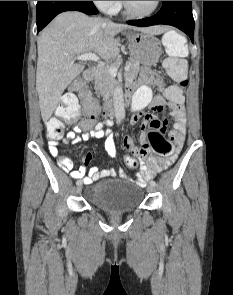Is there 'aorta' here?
Returning <instances> with one entry per match:
<instances>
[{"label": "aorta", "instance_id": "1", "mask_svg": "<svg viewBox=\"0 0 233 295\" xmlns=\"http://www.w3.org/2000/svg\"><path fill=\"white\" fill-rule=\"evenodd\" d=\"M113 104L116 114L123 116L125 114V104L121 87H118L114 92Z\"/></svg>", "mask_w": 233, "mask_h": 295}]
</instances>
